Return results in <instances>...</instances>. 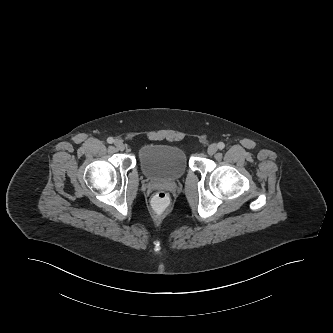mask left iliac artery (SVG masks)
Wrapping results in <instances>:
<instances>
[{"instance_id":"left-iliac-artery-1","label":"left iliac artery","mask_w":333,"mask_h":333,"mask_svg":"<svg viewBox=\"0 0 333 333\" xmlns=\"http://www.w3.org/2000/svg\"><path fill=\"white\" fill-rule=\"evenodd\" d=\"M218 148L221 149V150L224 149L225 148V144L223 142H219L218 143Z\"/></svg>"}]
</instances>
